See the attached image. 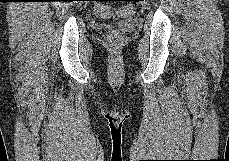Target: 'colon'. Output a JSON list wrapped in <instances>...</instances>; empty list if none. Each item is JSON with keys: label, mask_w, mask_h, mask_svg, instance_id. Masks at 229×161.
<instances>
[{"label": "colon", "mask_w": 229, "mask_h": 161, "mask_svg": "<svg viewBox=\"0 0 229 161\" xmlns=\"http://www.w3.org/2000/svg\"><path fill=\"white\" fill-rule=\"evenodd\" d=\"M94 14L99 17H114V16H131L135 13V7L133 5H123L120 8L114 10L107 4H96L93 8ZM108 44L111 48H118L122 42V35L117 30H112L107 36Z\"/></svg>", "instance_id": "obj_1"}]
</instances>
